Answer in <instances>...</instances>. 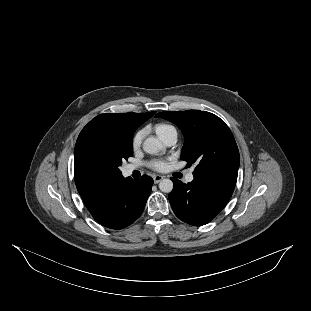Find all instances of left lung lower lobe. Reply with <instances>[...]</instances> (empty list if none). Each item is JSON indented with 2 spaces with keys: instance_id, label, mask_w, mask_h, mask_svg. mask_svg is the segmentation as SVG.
Returning a JSON list of instances; mask_svg holds the SVG:
<instances>
[{
  "instance_id": "left-lung-lower-lobe-1",
  "label": "left lung lower lobe",
  "mask_w": 311,
  "mask_h": 311,
  "mask_svg": "<svg viewBox=\"0 0 311 311\" xmlns=\"http://www.w3.org/2000/svg\"><path fill=\"white\" fill-rule=\"evenodd\" d=\"M171 179V207L179 219L194 226L207 224L225 207L237 181L234 176L194 177L187 184Z\"/></svg>"
}]
</instances>
